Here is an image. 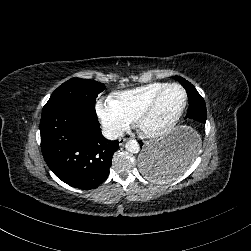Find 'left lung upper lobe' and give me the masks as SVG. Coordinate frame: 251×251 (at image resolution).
<instances>
[{
  "instance_id": "5c2ea615",
  "label": "left lung upper lobe",
  "mask_w": 251,
  "mask_h": 251,
  "mask_svg": "<svg viewBox=\"0 0 251 251\" xmlns=\"http://www.w3.org/2000/svg\"><path fill=\"white\" fill-rule=\"evenodd\" d=\"M173 78L175 80L179 81L181 83V85L183 87H185V89H186V91L188 93L196 95L198 98L202 99L201 95L197 92V90L195 89V87L190 82H188L187 80H185L184 78H182L180 76H174Z\"/></svg>"
}]
</instances>
